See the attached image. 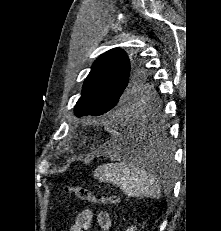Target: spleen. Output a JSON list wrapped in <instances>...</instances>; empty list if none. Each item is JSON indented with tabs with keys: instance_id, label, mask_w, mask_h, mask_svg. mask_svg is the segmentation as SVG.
<instances>
[{
	"instance_id": "obj_1",
	"label": "spleen",
	"mask_w": 221,
	"mask_h": 231,
	"mask_svg": "<svg viewBox=\"0 0 221 231\" xmlns=\"http://www.w3.org/2000/svg\"><path fill=\"white\" fill-rule=\"evenodd\" d=\"M94 175L101 182L119 186L130 197L159 198L161 195V187L157 178L138 163L127 159L122 162L99 166Z\"/></svg>"
}]
</instances>
